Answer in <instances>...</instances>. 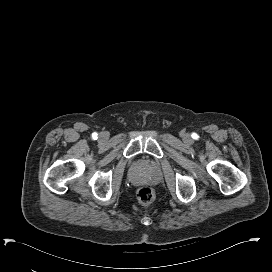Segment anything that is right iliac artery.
Wrapping results in <instances>:
<instances>
[{"label": "right iliac artery", "instance_id": "1", "mask_svg": "<svg viewBox=\"0 0 272 272\" xmlns=\"http://www.w3.org/2000/svg\"><path fill=\"white\" fill-rule=\"evenodd\" d=\"M92 138H93L94 140H96V139L98 138V134H97L96 132H94V133L92 134Z\"/></svg>", "mask_w": 272, "mask_h": 272}]
</instances>
